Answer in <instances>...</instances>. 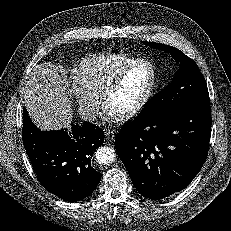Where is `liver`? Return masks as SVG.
<instances>
[{"label": "liver", "mask_w": 231, "mask_h": 231, "mask_svg": "<svg viewBox=\"0 0 231 231\" xmlns=\"http://www.w3.org/2000/svg\"><path fill=\"white\" fill-rule=\"evenodd\" d=\"M24 103L41 130L68 127L73 113L64 69L50 63L35 66L25 83Z\"/></svg>", "instance_id": "6515ba94"}]
</instances>
